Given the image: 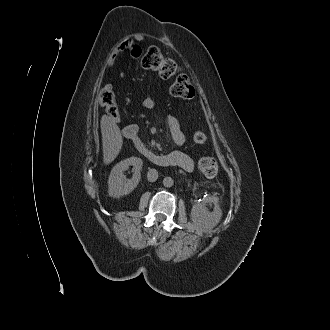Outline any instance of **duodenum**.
<instances>
[{"mask_svg":"<svg viewBox=\"0 0 330 330\" xmlns=\"http://www.w3.org/2000/svg\"><path fill=\"white\" fill-rule=\"evenodd\" d=\"M124 136L127 139H134L136 137L135 128L132 126L126 127L124 130ZM137 146L140 148V151L148 158L150 162L162 167L170 166L168 159L165 155L157 154L148 150L141 142H138Z\"/></svg>","mask_w":330,"mask_h":330,"instance_id":"obj_1","label":"duodenum"}]
</instances>
